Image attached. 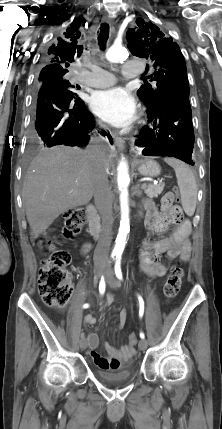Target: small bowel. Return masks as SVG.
<instances>
[{
  "label": "small bowel",
  "mask_w": 222,
  "mask_h": 429,
  "mask_svg": "<svg viewBox=\"0 0 222 429\" xmlns=\"http://www.w3.org/2000/svg\"><path fill=\"white\" fill-rule=\"evenodd\" d=\"M146 211L145 225L148 231L155 235L165 233L170 225H174L172 233L163 239L151 240L143 243L140 250V270L152 278L162 277L167 272V265L162 261L161 256L167 259L179 257L182 261L189 260L192 246L189 239L191 234V222L185 218L181 208L176 205L165 206L162 204L161 211L149 200L143 203ZM90 244L85 243L80 248V254L85 255L90 251ZM114 296L108 295L106 305L113 302ZM127 319V310L122 309L119 313V323L117 328L122 329ZM85 322L93 325L97 323L96 317L86 315ZM90 355L94 363L101 369L117 370L126 366L134 355V348L123 345L116 348L110 344L105 345L107 356L100 355L96 349L99 338L96 333L87 334Z\"/></svg>",
  "instance_id": "c3829d8e"
}]
</instances>
